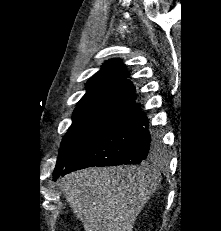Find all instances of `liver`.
<instances>
[{
    "mask_svg": "<svg viewBox=\"0 0 221 231\" xmlns=\"http://www.w3.org/2000/svg\"><path fill=\"white\" fill-rule=\"evenodd\" d=\"M158 185L155 170L135 166L93 167L62 179L66 200L85 231H132Z\"/></svg>",
    "mask_w": 221,
    "mask_h": 231,
    "instance_id": "liver-1",
    "label": "liver"
}]
</instances>
